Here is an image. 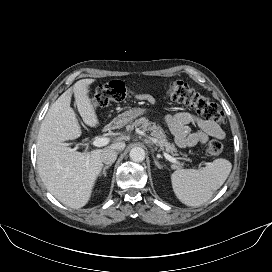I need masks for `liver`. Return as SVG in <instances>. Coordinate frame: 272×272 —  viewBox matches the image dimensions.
Wrapping results in <instances>:
<instances>
[{
	"label": "liver",
	"instance_id": "obj_1",
	"mask_svg": "<svg viewBox=\"0 0 272 272\" xmlns=\"http://www.w3.org/2000/svg\"><path fill=\"white\" fill-rule=\"evenodd\" d=\"M94 79H82L65 91L49 108L37 137V166L47 190L64 205L78 209L85 206L101 173L102 149L90 153L76 152L63 142L81 135L77 116L71 108L72 93L84 123L96 127L99 122L91 99L89 86ZM124 142L107 148L121 151Z\"/></svg>",
	"mask_w": 272,
	"mask_h": 272
}]
</instances>
